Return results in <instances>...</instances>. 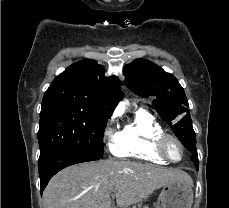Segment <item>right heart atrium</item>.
I'll list each match as a JSON object with an SVG mask.
<instances>
[{
	"instance_id": "right-heart-atrium-1",
	"label": "right heart atrium",
	"mask_w": 229,
	"mask_h": 208,
	"mask_svg": "<svg viewBox=\"0 0 229 208\" xmlns=\"http://www.w3.org/2000/svg\"><path fill=\"white\" fill-rule=\"evenodd\" d=\"M104 136H105V138H110V142H111L110 144H111V147H113V145L116 141L117 135L113 134V130H112L110 123H108L105 127Z\"/></svg>"
}]
</instances>
